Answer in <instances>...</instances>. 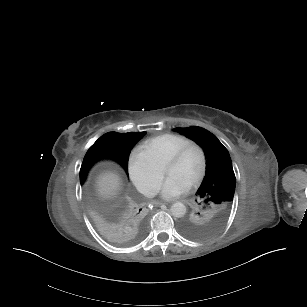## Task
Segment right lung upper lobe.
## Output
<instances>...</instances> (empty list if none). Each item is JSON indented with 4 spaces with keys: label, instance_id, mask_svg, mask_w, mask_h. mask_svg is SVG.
I'll list each match as a JSON object with an SVG mask.
<instances>
[{
    "label": "right lung upper lobe",
    "instance_id": "obj_1",
    "mask_svg": "<svg viewBox=\"0 0 307 307\" xmlns=\"http://www.w3.org/2000/svg\"><path fill=\"white\" fill-rule=\"evenodd\" d=\"M145 135V132L117 133L108 132L101 136L108 144L118 147L129 155L134 144ZM125 169V168H124ZM128 172V169H125ZM83 196L93 216L101 228L107 231L119 229H138L146 221L147 211L144 205L133 198H124L100 202L92 198L87 190Z\"/></svg>",
    "mask_w": 307,
    "mask_h": 307
}]
</instances>
